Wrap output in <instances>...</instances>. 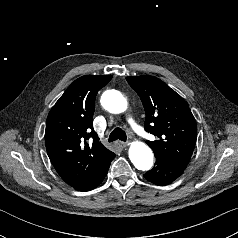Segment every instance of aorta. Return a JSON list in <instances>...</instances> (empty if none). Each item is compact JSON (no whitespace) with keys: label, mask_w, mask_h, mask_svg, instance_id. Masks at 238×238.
Masks as SVG:
<instances>
[{"label":"aorta","mask_w":238,"mask_h":238,"mask_svg":"<svg viewBox=\"0 0 238 238\" xmlns=\"http://www.w3.org/2000/svg\"><path fill=\"white\" fill-rule=\"evenodd\" d=\"M102 106L111 113H122L127 109V100L116 90L105 91L101 97ZM129 158L134 166L147 171L153 166V153L143 142H133L129 148Z\"/></svg>","instance_id":"762f6f07"}]
</instances>
